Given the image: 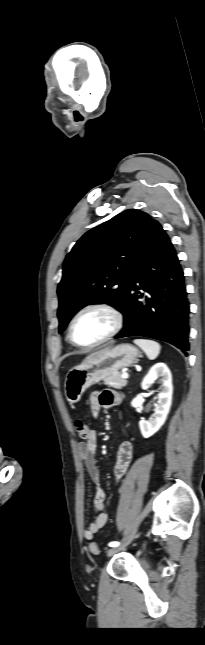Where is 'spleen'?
Here are the masks:
<instances>
[{
	"label": "spleen",
	"mask_w": 205,
	"mask_h": 645,
	"mask_svg": "<svg viewBox=\"0 0 205 645\" xmlns=\"http://www.w3.org/2000/svg\"><path fill=\"white\" fill-rule=\"evenodd\" d=\"M134 343L145 352L150 360H154L161 350L160 344L153 340L135 339Z\"/></svg>",
	"instance_id": "1"
}]
</instances>
